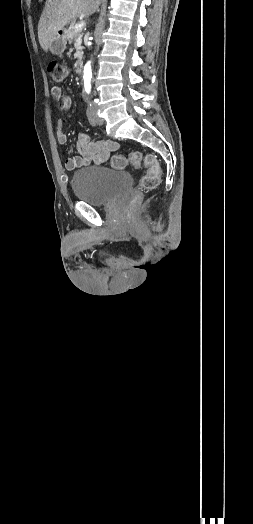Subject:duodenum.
<instances>
[{
  "label": "duodenum",
  "instance_id": "duodenum-1",
  "mask_svg": "<svg viewBox=\"0 0 253 524\" xmlns=\"http://www.w3.org/2000/svg\"><path fill=\"white\" fill-rule=\"evenodd\" d=\"M82 67H83V61L82 59H78L75 64H74V69H75V72L76 73H81L82 72Z\"/></svg>",
  "mask_w": 253,
  "mask_h": 524
}]
</instances>
